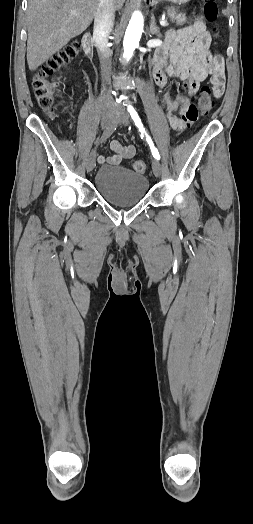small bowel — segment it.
<instances>
[{"mask_svg": "<svg viewBox=\"0 0 253 524\" xmlns=\"http://www.w3.org/2000/svg\"><path fill=\"white\" fill-rule=\"evenodd\" d=\"M211 36L201 18L191 25L169 30L164 44L154 53L152 73L158 88H165L170 79L183 82L187 96L178 95L172 99L167 93L162 96L161 106L170 127L183 131L192 126L200 115L198 102L193 99L200 84L206 79L212 87L215 98L222 97L225 87L224 60L210 51ZM178 110L180 116L172 113ZM111 156H99L100 164H119L132 158L136 153L133 145H123L118 140L110 143Z\"/></svg>", "mask_w": 253, "mask_h": 524, "instance_id": "1", "label": "small bowel"}]
</instances>
